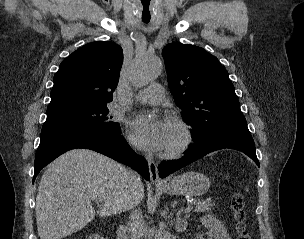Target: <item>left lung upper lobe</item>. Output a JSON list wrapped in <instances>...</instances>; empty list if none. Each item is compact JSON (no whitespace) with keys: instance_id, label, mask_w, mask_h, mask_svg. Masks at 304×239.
Here are the masks:
<instances>
[{"instance_id":"obj_1","label":"left lung upper lobe","mask_w":304,"mask_h":239,"mask_svg":"<svg viewBox=\"0 0 304 239\" xmlns=\"http://www.w3.org/2000/svg\"><path fill=\"white\" fill-rule=\"evenodd\" d=\"M162 55L168 84L195 144L224 134H250L227 70L215 56L190 44L171 43Z\"/></svg>"}]
</instances>
